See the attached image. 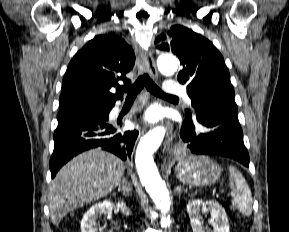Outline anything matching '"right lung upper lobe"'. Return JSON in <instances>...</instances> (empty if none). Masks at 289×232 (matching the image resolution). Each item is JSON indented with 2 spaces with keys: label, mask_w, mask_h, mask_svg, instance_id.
I'll return each instance as SVG.
<instances>
[{
  "label": "right lung upper lobe",
  "mask_w": 289,
  "mask_h": 232,
  "mask_svg": "<svg viewBox=\"0 0 289 232\" xmlns=\"http://www.w3.org/2000/svg\"><path fill=\"white\" fill-rule=\"evenodd\" d=\"M134 62V51L122 35L110 32L95 36L68 65L62 82L60 110L112 108L123 96L118 81L130 84L125 75ZM116 85V93L110 92Z\"/></svg>",
  "instance_id": "obj_1"
}]
</instances>
